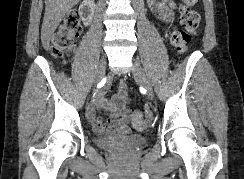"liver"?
I'll return each mask as SVG.
<instances>
[{"label": "liver", "mask_w": 244, "mask_h": 179, "mask_svg": "<svg viewBox=\"0 0 244 179\" xmlns=\"http://www.w3.org/2000/svg\"><path fill=\"white\" fill-rule=\"evenodd\" d=\"M80 0H45V14L41 28V42L44 50H49L51 36L62 22L63 16Z\"/></svg>", "instance_id": "obj_1"}]
</instances>
